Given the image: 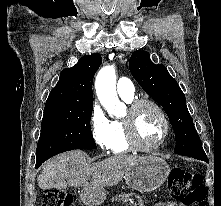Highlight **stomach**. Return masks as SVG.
Segmentation results:
<instances>
[{
    "label": "stomach",
    "instance_id": "0dacf381",
    "mask_svg": "<svg viewBox=\"0 0 221 206\" xmlns=\"http://www.w3.org/2000/svg\"><path fill=\"white\" fill-rule=\"evenodd\" d=\"M170 168L166 161L156 156L142 157L124 176L133 190L151 192L159 188L168 178ZM81 200L87 206H98L106 198V191L100 186L84 187Z\"/></svg>",
    "mask_w": 221,
    "mask_h": 206
}]
</instances>
